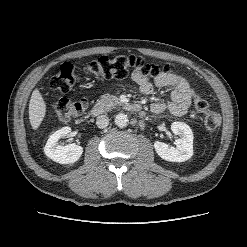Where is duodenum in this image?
Segmentation results:
<instances>
[{
  "mask_svg": "<svg viewBox=\"0 0 247 247\" xmlns=\"http://www.w3.org/2000/svg\"><path fill=\"white\" fill-rule=\"evenodd\" d=\"M124 108L130 112H140L141 111V105L138 103H126L124 104ZM107 111V107L106 105L102 104V103H98L95 104L91 110H90V114L92 116H99L104 114Z\"/></svg>",
  "mask_w": 247,
  "mask_h": 247,
  "instance_id": "obj_1",
  "label": "duodenum"
}]
</instances>
